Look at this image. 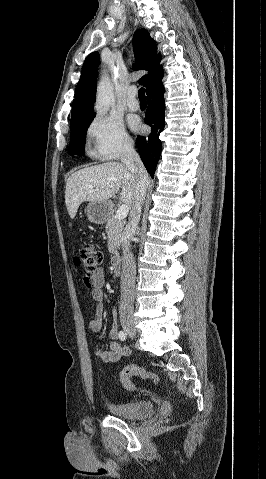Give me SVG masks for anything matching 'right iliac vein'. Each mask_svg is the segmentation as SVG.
<instances>
[{
	"mask_svg": "<svg viewBox=\"0 0 266 479\" xmlns=\"http://www.w3.org/2000/svg\"><path fill=\"white\" fill-rule=\"evenodd\" d=\"M122 327L131 337L136 336V328L133 322H124Z\"/></svg>",
	"mask_w": 266,
	"mask_h": 479,
	"instance_id": "63e3f726",
	"label": "right iliac vein"
}]
</instances>
